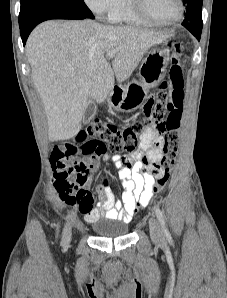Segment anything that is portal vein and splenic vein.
<instances>
[{
	"mask_svg": "<svg viewBox=\"0 0 227 298\" xmlns=\"http://www.w3.org/2000/svg\"><path fill=\"white\" fill-rule=\"evenodd\" d=\"M115 57V51H109L106 53V58L108 60L113 59Z\"/></svg>",
	"mask_w": 227,
	"mask_h": 298,
	"instance_id": "obj_1",
	"label": "portal vein and splenic vein"
}]
</instances>
